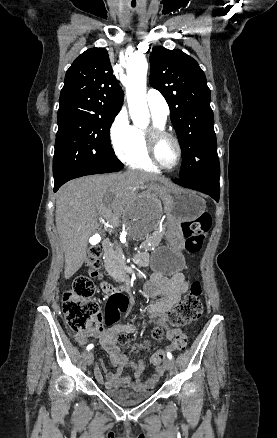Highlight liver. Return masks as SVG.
I'll use <instances>...</instances> for the list:
<instances>
[{
	"instance_id": "obj_1",
	"label": "liver",
	"mask_w": 277,
	"mask_h": 438,
	"mask_svg": "<svg viewBox=\"0 0 277 438\" xmlns=\"http://www.w3.org/2000/svg\"><path fill=\"white\" fill-rule=\"evenodd\" d=\"M146 182L174 184L147 172H124L109 176H84L62 186L56 196L55 222L65 254V280L78 272L87 258V244L92 232L99 230L98 216L111 218L113 210L137 205L134 192Z\"/></svg>"
}]
</instances>
